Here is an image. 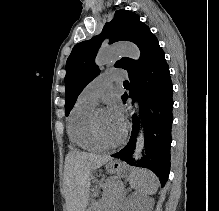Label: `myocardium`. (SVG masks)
Masks as SVG:
<instances>
[{"label": "myocardium", "instance_id": "f54148a6", "mask_svg": "<svg viewBox=\"0 0 219 211\" xmlns=\"http://www.w3.org/2000/svg\"><path fill=\"white\" fill-rule=\"evenodd\" d=\"M102 106H96L93 108L92 112H91V116H90V126H91V130L94 134V136L96 137V139L98 141H100L101 143H103L105 146L108 147H116L120 144H122L127 136V129L125 128L121 135L118 136L116 139H110L107 136H105L99 126H98V122H97V113L100 109H102Z\"/></svg>", "mask_w": 219, "mask_h": 211}]
</instances>
